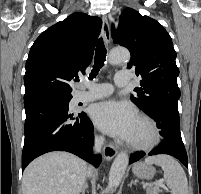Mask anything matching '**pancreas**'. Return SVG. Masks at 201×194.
Wrapping results in <instances>:
<instances>
[{
  "label": "pancreas",
  "instance_id": "cf45deb5",
  "mask_svg": "<svg viewBox=\"0 0 201 194\" xmlns=\"http://www.w3.org/2000/svg\"><path fill=\"white\" fill-rule=\"evenodd\" d=\"M161 192V189L159 187H149L147 189V194H159Z\"/></svg>",
  "mask_w": 201,
  "mask_h": 194
}]
</instances>
